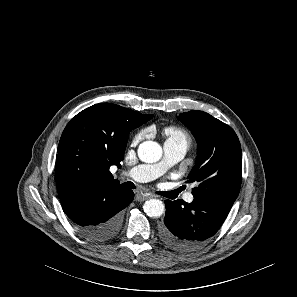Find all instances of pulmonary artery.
I'll use <instances>...</instances> for the list:
<instances>
[{
	"label": "pulmonary artery",
	"mask_w": 297,
	"mask_h": 297,
	"mask_svg": "<svg viewBox=\"0 0 297 297\" xmlns=\"http://www.w3.org/2000/svg\"><path fill=\"white\" fill-rule=\"evenodd\" d=\"M163 149L164 156L161 161L154 164H142L135 166L125 172L124 175L137 182L152 181L164 174L171 166L183 159L189 149V144L185 141L165 142ZM184 199L187 202H192L193 195L191 193H187L184 196Z\"/></svg>",
	"instance_id": "pulmonary-artery-1"
}]
</instances>
